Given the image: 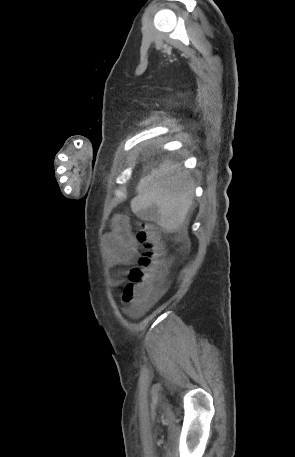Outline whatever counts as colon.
Masks as SVG:
<instances>
[{
    "label": "colon",
    "instance_id": "5ec220e1",
    "mask_svg": "<svg viewBox=\"0 0 295 457\" xmlns=\"http://www.w3.org/2000/svg\"><path fill=\"white\" fill-rule=\"evenodd\" d=\"M136 237L143 246V252L138 258L137 266L129 270L128 283L122 294L123 302L133 312L140 311L145 305L165 266L163 242L157 228L150 222L141 221Z\"/></svg>",
    "mask_w": 295,
    "mask_h": 457
}]
</instances>
